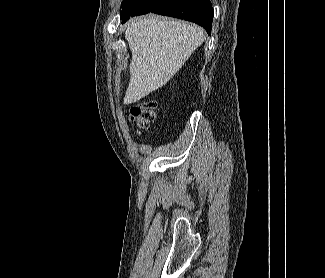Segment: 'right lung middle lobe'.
I'll use <instances>...</instances> for the list:
<instances>
[{"label": "right lung middle lobe", "instance_id": "right-lung-middle-lobe-1", "mask_svg": "<svg viewBox=\"0 0 325 278\" xmlns=\"http://www.w3.org/2000/svg\"><path fill=\"white\" fill-rule=\"evenodd\" d=\"M135 0H123L122 11L120 13V18L129 15L134 10L133 2Z\"/></svg>", "mask_w": 325, "mask_h": 278}]
</instances>
